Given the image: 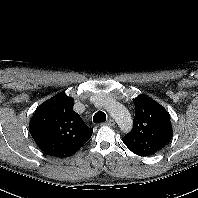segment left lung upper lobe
Segmentation results:
<instances>
[{"instance_id":"5c2ea615","label":"left lung upper lobe","mask_w":198,"mask_h":198,"mask_svg":"<svg viewBox=\"0 0 198 198\" xmlns=\"http://www.w3.org/2000/svg\"><path fill=\"white\" fill-rule=\"evenodd\" d=\"M135 116L133 129L123 138L130 151L139 156H150L164 148L172 139L169 113L146 95L133 99Z\"/></svg>"}]
</instances>
